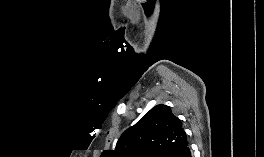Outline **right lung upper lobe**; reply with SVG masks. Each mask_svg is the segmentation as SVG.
<instances>
[{
  "label": "right lung upper lobe",
  "mask_w": 264,
  "mask_h": 157,
  "mask_svg": "<svg viewBox=\"0 0 264 157\" xmlns=\"http://www.w3.org/2000/svg\"><path fill=\"white\" fill-rule=\"evenodd\" d=\"M188 146L182 123L167 105H157L119 138L109 157H177Z\"/></svg>",
  "instance_id": "1"
}]
</instances>
